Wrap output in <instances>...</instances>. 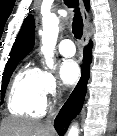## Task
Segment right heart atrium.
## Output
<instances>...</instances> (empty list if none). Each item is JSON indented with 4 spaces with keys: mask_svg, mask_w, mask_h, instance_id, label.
Masks as SVG:
<instances>
[{
    "mask_svg": "<svg viewBox=\"0 0 117 136\" xmlns=\"http://www.w3.org/2000/svg\"><path fill=\"white\" fill-rule=\"evenodd\" d=\"M39 93L43 102L56 98L60 92V85L52 73L46 70L38 71Z\"/></svg>",
    "mask_w": 117,
    "mask_h": 136,
    "instance_id": "right-heart-atrium-1",
    "label": "right heart atrium"
}]
</instances>
